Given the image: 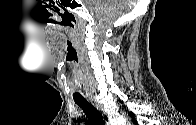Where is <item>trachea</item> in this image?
I'll return each mask as SVG.
<instances>
[{"label":"trachea","instance_id":"3493384b","mask_svg":"<svg viewBox=\"0 0 196 125\" xmlns=\"http://www.w3.org/2000/svg\"><path fill=\"white\" fill-rule=\"evenodd\" d=\"M75 103L83 110L92 125H105L103 117L87 100H78Z\"/></svg>","mask_w":196,"mask_h":125}]
</instances>
